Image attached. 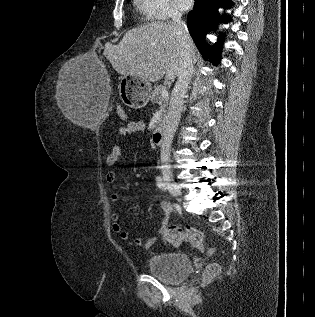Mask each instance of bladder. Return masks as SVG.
<instances>
[{
  "label": "bladder",
  "instance_id": "31cf9c89",
  "mask_svg": "<svg viewBox=\"0 0 315 317\" xmlns=\"http://www.w3.org/2000/svg\"><path fill=\"white\" fill-rule=\"evenodd\" d=\"M148 271L167 282H180L191 270L189 258L179 252L161 253L150 257L147 261Z\"/></svg>",
  "mask_w": 315,
  "mask_h": 317
}]
</instances>
